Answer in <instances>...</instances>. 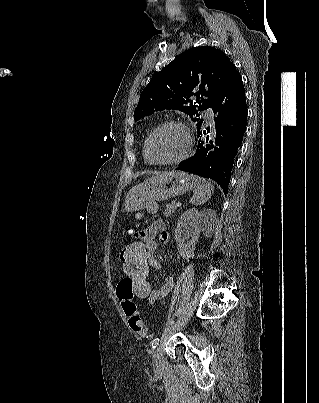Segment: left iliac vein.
Instances as JSON below:
<instances>
[{"instance_id": "obj_1", "label": "left iliac vein", "mask_w": 319, "mask_h": 403, "mask_svg": "<svg viewBox=\"0 0 319 403\" xmlns=\"http://www.w3.org/2000/svg\"><path fill=\"white\" fill-rule=\"evenodd\" d=\"M153 364H154V368L157 371L161 370L162 367V347L158 346L153 354Z\"/></svg>"}]
</instances>
